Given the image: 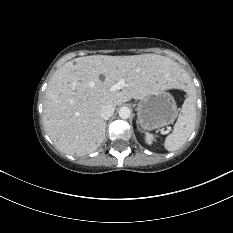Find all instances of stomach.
<instances>
[{
	"label": "stomach",
	"instance_id": "1",
	"mask_svg": "<svg viewBox=\"0 0 233 233\" xmlns=\"http://www.w3.org/2000/svg\"><path fill=\"white\" fill-rule=\"evenodd\" d=\"M176 115L175 100L166 90L144 97L137 106V123L144 130H154L169 125Z\"/></svg>",
	"mask_w": 233,
	"mask_h": 233
}]
</instances>
